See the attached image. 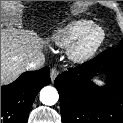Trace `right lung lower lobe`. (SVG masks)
<instances>
[{
    "instance_id": "1",
    "label": "right lung lower lobe",
    "mask_w": 123,
    "mask_h": 123,
    "mask_svg": "<svg viewBox=\"0 0 123 123\" xmlns=\"http://www.w3.org/2000/svg\"><path fill=\"white\" fill-rule=\"evenodd\" d=\"M49 72L48 67L29 71L1 87V123H27L36 95L50 83Z\"/></svg>"
}]
</instances>
